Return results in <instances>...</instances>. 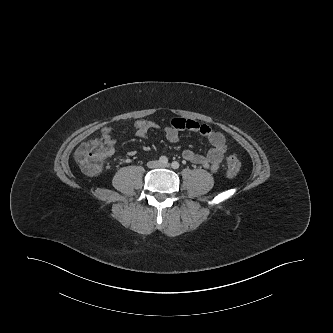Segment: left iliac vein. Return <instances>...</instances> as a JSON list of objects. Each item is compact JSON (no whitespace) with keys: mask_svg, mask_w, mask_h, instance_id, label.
Wrapping results in <instances>:
<instances>
[{"mask_svg":"<svg viewBox=\"0 0 333 333\" xmlns=\"http://www.w3.org/2000/svg\"><path fill=\"white\" fill-rule=\"evenodd\" d=\"M161 167H163V168H167V167H169V164H165V165H160Z\"/></svg>","mask_w":333,"mask_h":333,"instance_id":"1","label":"left iliac vein"}]
</instances>
